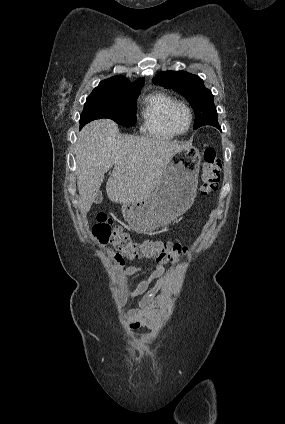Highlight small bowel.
Wrapping results in <instances>:
<instances>
[{"mask_svg": "<svg viewBox=\"0 0 285 424\" xmlns=\"http://www.w3.org/2000/svg\"><path fill=\"white\" fill-rule=\"evenodd\" d=\"M143 269L138 266H129L124 269V274L127 276L138 275L142 273ZM146 271L149 273V278L137 284L136 288L128 295L141 296L139 300V312L129 315L127 326L131 329H139L146 327L150 323L152 309L159 307L163 304L165 294L160 290L165 283L164 268L161 265L149 266ZM154 282L153 286H151ZM145 347L149 345L144 344Z\"/></svg>", "mask_w": 285, "mask_h": 424, "instance_id": "c3829d8e", "label": "small bowel"}]
</instances>
